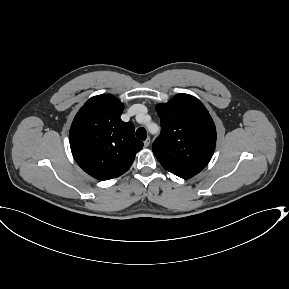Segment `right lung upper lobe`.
Masks as SVG:
<instances>
[{
    "instance_id": "obj_1",
    "label": "right lung upper lobe",
    "mask_w": 289,
    "mask_h": 289,
    "mask_svg": "<svg viewBox=\"0 0 289 289\" xmlns=\"http://www.w3.org/2000/svg\"><path fill=\"white\" fill-rule=\"evenodd\" d=\"M124 105L111 94L90 98L76 114L69 141L77 164L98 180L125 173L143 142L134 136V125L120 118Z\"/></svg>"
}]
</instances>
